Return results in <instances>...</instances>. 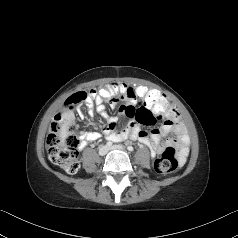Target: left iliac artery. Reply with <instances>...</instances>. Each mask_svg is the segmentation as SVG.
<instances>
[{
  "label": "left iliac artery",
  "instance_id": "obj_1",
  "mask_svg": "<svg viewBox=\"0 0 238 238\" xmlns=\"http://www.w3.org/2000/svg\"><path fill=\"white\" fill-rule=\"evenodd\" d=\"M127 149H128L129 151H133V150H134V148H133L132 146H128Z\"/></svg>",
  "mask_w": 238,
  "mask_h": 238
}]
</instances>
